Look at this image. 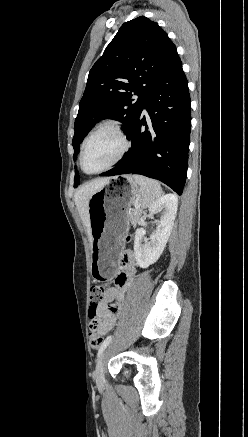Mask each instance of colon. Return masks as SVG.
Here are the masks:
<instances>
[{
  "label": "colon",
  "instance_id": "5ec220e1",
  "mask_svg": "<svg viewBox=\"0 0 248 437\" xmlns=\"http://www.w3.org/2000/svg\"><path fill=\"white\" fill-rule=\"evenodd\" d=\"M106 293V288L102 285H94L91 288V306L89 310L90 322V344L92 348L96 349L100 346L103 340V336L98 333V307L103 302Z\"/></svg>",
  "mask_w": 248,
  "mask_h": 437
}]
</instances>
